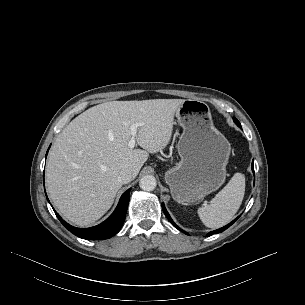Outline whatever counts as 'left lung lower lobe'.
<instances>
[{
  "instance_id": "obj_1",
  "label": "left lung lower lobe",
  "mask_w": 305,
  "mask_h": 305,
  "mask_svg": "<svg viewBox=\"0 0 305 305\" xmlns=\"http://www.w3.org/2000/svg\"><path fill=\"white\" fill-rule=\"evenodd\" d=\"M252 170H253V172H254V165H253V163H252ZM162 208H163V211H164L166 217L168 218V220H169L177 229H179L180 231H182V230L173 222V220H172L171 217L169 216L167 210L165 209L164 203H162ZM238 218H239V217H237L235 220H233V221H232L231 223H229L228 225H226V226H224V227H222V228H220V229H217V230H215V231L210 232L207 236H211V235H213V234H215V233H220V232L226 230V229H227L229 226H231ZM183 232H184V231H183ZM184 233L186 234V232H184Z\"/></svg>"
}]
</instances>
